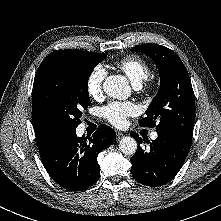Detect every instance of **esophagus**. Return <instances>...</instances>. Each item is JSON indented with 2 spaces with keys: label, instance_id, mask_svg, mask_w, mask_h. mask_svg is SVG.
<instances>
[{
  "label": "esophagus",
  "instance_id": "esophagus-1",
  "mask_svg": "<svg viewBox=\"0 0 221 221\" xmlns=\"http://www.w3.org/2000/svg\"><path fill=\"white\" fill-rule=\"evenodd\" d=\"M124 136H125V134L122 133V132H119V131H118V132L116 133V138H117V140L123 138Z\"/></svg>",
  "mask_w": 221,
  "mask_h": 221
}]
</instances>
